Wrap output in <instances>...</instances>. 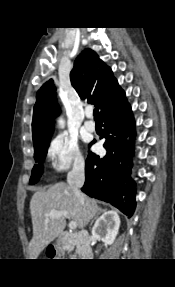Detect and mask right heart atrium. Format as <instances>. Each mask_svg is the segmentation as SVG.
<instances>
[{"mask_svg":"<svg viewBox=\"0 0 175 287\" xmlns=\"http://www.w3.org/2000/svg\"><path fill=\"white\" fill-rule=\"evenodd\" d=\"M47 158L55 172H64L72 167L81 169L84 166L77 140L64 133L52 138L47 148Z\"/></svg>","mask_w":175,"mask_h":287,"instance_id":"right-heart-atrium-1","label":"right heart atrium"}]
</instances>
